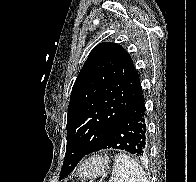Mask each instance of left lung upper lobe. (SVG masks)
<instances>
[{"instance_id":"left-lung-upper-lobe-1","label":"left lung upper lobe","mask_w":196,"mask_h":182,"mask_svg":"<svg viewBox=\"0 0 196 182\" xmlns=\"http://www.w3.org/2000/svg\"><path fill=\"white\" fill-rule=\"evenodd\" d=\"M141 93L139 75L126 50L116 43L97 45L72 88L67 115L66 155L76 146L80 152L92 153ZM77 164L72 160L69 163L64 161L60 180Z\"/></svg>"}]
</instances>
